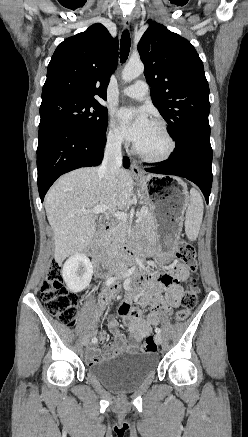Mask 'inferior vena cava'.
<instances>
[{
	"instance_id": "1",
	"label": "inferior vena cava",
	"mask_w": 248,
	"mask_h": 437,
	"mask_svg": "<svg viewBox=\"0 0 248 437\" xmlns=\"http://www.w3.org/2000/svg\"><path fill=\"white\" fill-rule=\"evenodd\" d=\"M120 138L109 140L105 147L104 159L98 169L100 176H104L108 183L113 186L117 183V177L122 166Z\"/></svg>"
}]
</instances>
